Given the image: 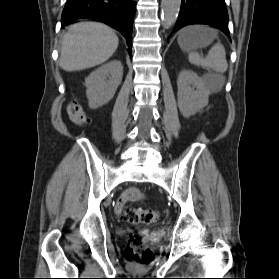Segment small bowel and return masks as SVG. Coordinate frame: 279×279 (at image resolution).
Listing matches in <instances>:
<instances>
[{"label": "small bowel", "mask_w": 279, "mask_h": 279, "mask_svg": "<svg viewBox=\"0 0 279 279\" xmlns=\"http://www.w3.org/2000/svg\"><path fill=\"white\" fill-rule=\"evenodd\" d=\"M143 198V194L140 190L136 188H129L122 193L115 204V210L118 214L121 213L122 208L128 201H138Z\"/></svg>", "instance_id": "small-bowel-1"}]
</instances>
